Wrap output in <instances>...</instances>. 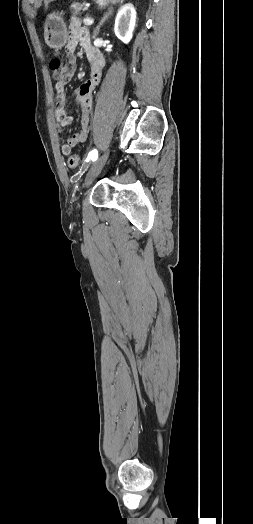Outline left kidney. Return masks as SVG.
<instances>
[{"label": "left kidney", "instance_id": "obj_1", "mask_svg": "<svg viewBox=\"0 0 253 524\" xmlns=\"http://www.w3.org/2000/svg\"><path fill=\"white\" fill-rule=\"evenodd\" d=\"M136 22V10L130 3L123 5L116 16L114 32L125 44L129 43L133 36Z\"/></svg>", "mask_w": 253, "mask_h": 524}]
</instances>
